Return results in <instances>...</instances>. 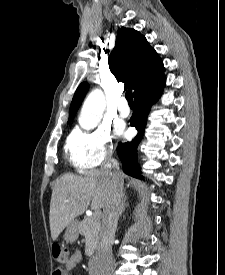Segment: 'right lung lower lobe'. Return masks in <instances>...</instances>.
Segmentation results:
<instances>
[{
  "mask_svg": "<svg viewBox=\"0 0 225 275\" xmlns=\"http://www.w3.org/2000/svg\"><path fill=\"white\" fill-rule=\"evenodd\" d=\"M165 83L164 75L158 77L135 97L137 109L130 119V125L136 127L138 134L131 142L118 144L117 154L122 161L124 172L133 177H139L140 174L137 164V146L144 134L148 112L151 105L160 97Z\"/></svg>",
  "mask_w": 225,
  "mask_h": 275,
  "instance_id": "obj_1",
  "label": "right lung lower lobe"
}]
</instances>
